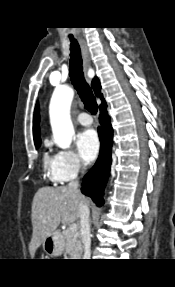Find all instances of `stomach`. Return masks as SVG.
<instances>
[{"instance_id": "1", "label": "stomach", "mask_w": 175, "mask_h": 287, "mask_svg": "<svg viewBox=\"0 0 175 287\" xmlns=\"http://www.w3.org/2000/svg\"><path fill=\"white\" fill-rule=\"evenodd\" d=\"M64 244V237L58 231L53 232L42 242L43 250L49 256L61 255L64 250Z\"/></svg>"}]
</instances>
